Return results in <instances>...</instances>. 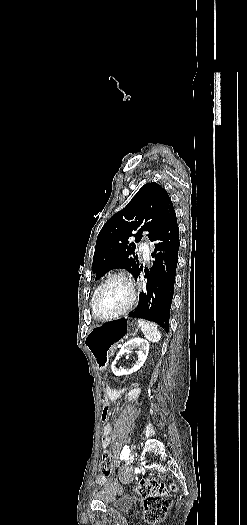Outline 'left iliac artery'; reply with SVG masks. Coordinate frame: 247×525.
Masks as SVG:
<instances>
[{"mask_svg": "<svg viewBox=\"0 0 247 525\" xmlns=\"http://www.w3.org/2000/svg\"><path fill=\"white\" fill-rule=\"evenodd\" d=\"M129 454H130V448L129 446L125 445L121 451L120 459L123 460V459L128 458Z\"/></svg>", "mask_w": 247, "mask_h": 525, "instance_id": "1", "label": "left iliac artery"}]
</instances>
